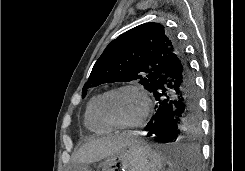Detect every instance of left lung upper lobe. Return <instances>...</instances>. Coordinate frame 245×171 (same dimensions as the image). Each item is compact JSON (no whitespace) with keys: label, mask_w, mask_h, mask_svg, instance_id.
<instances>
[{"label":"left lung upper lobe","mask_w":245,"mask_h":171,"mask_svg":"<svg viewBox=\"0 0 245 171\" xmlns=\"http://www.w3.org/2000/svg\"><path fill=\"white\" fill-rule=\"evenodd\" d=\"M180 47L160 23H145L114 39L96 61L82 91L103 83L138 80L151 92L162 74L166 58Z\"/></svg>","instance_id":"obj_1"}]
</instances>
